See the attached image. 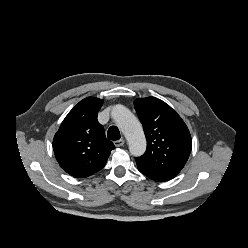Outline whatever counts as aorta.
<instances>
[{"label":"aorta","instance_id":"1","mask_svg":"<svg viewBox=\"0 0 248 248\" xmlns=\"http://www.w3.org/2000/svg\"><path fill=\"white\" fill-rule=\"evenodd\" d=\"M111 116L123 132L133 156H141L146 150V139L139 120L123 105H115Z\"/></svg>","mask_w":248,"mask_h":248}]
</instances>
